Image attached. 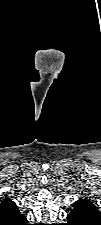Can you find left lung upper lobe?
I'll list each match as a JSON object with an SVG mask.
<instances>
[{
	"mask_svg": "<svg viewBox=\"0 0 101 225\" xmlns=\"http://www.w3.org/2000/svg\"><path fill=\"white\" fill-rule=\"evenodd\" d=\"M75 207H83L86 209H91L93 211L99 212L97 207L94 206L89 200L87 199H80L76 202Z\"/></svg>",
	"mask_w": 101,
	"mask_h": 225,
	"instance_id": "1",
	"label": "left lung upper lobe"
}]
</instances>
